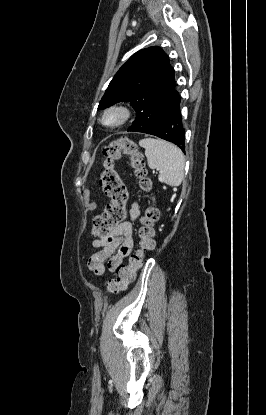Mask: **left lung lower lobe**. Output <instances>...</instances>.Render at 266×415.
<instances>
[{
	"mask_svg": "<svg viewBox=\"0 0 266 415\" xmlns=\"http://www.w3.org/2000/svg\"><path fill=\"white\" fill-rule=\"evenodd\" d=\"M180 100L181 98L160 122L143 133L155 135L166 141H170L185 152V131L182 125Z\"/></svg>",
	"mask_w": 266,
	"mask_h": 415,
	"instance_id": "left-lung-lower-lobe-1",
	"label": "left lung lower lobe"
}]
</instances>
